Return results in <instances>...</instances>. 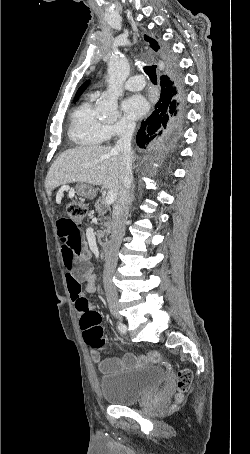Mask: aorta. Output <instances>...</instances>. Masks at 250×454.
I'll use <instances>...</instances> for the list:
<instances>
[{"mask_svg": "<svg viewBox=\"0 0 250 454\" xmlns=\"http://www.w3.org/2000/svg\"><path fill=\"white\" fill-rule=\"evenodd\" d=\"M130 74L127 59L116 54L108 63V89L106 94L98 101L97 111L107 117L118 115V99L122 94V87Z\"/></svg>", "mask_w": 250, "mask_h": 454, "instance_id": "1", "label": "aorta"}]
</instances>
